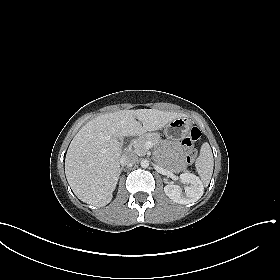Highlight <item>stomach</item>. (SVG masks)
Masks as SVG:
<instances>
[{
	"instance_id": "0dacf381",
	"label": "stomach",
	"mask_w": 280,
	"mask_h": 280,
	"mask_svg": "<svg viewBox=\"0 0 280 280\" xmlns=\"http://www.w3.org/2000/svg\"><path fill=\"white\" fill-rule=\"evenodd\" d=\"M191 127V121L186 117L176 118L166 124L164 134L171 139H181L186 136Z\"/></svg>"
}]
</instances>
